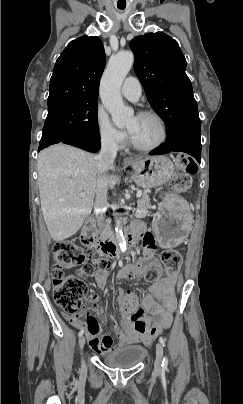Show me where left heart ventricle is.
<instances>
[{"mask_svg":"<svg viewBox=\"0 0 243 404\" xmlns=\"http://www.w3.org/2000/svg\"><path fill=\"white\" fill-rule=\"evenodd\" d=\"M125 126L133 140L141 145H152L159 141L162 135L160 123L150 116L130 117Z\"/></svg>","mask_w":243,"mask_h":404,"instance_id":"1","label":"left heart ventricle"}]
</instances>
